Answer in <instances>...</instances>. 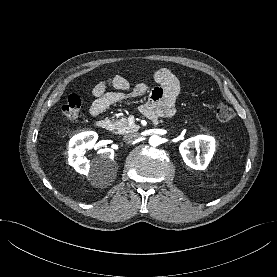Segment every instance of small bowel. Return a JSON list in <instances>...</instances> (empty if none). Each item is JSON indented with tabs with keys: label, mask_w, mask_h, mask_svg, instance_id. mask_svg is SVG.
<instances>
[{
	"label": "small bowel",
	"mask_w": 277,
	"mask_h": 277,
	"mask_svg": "<svg viewBox=\"0 0 277 277\" xmlns=\"http://www.w3.org/2000/svg\"><path fill=\"white\" fill-rule=\"evenodd\" d=\"M154 80L159 87L151 90L149 100L142 105L141 112L154 119L171 117L175 113V103L180 92L179 81L170 70L165 68L155 72ZM109 87L115 91H108ZM147 92L149 87L144 82L131 84L123 76H112L94 86L92 93L95 100L90 106V113L97 116L115 103L143 96Z\"/></svg>",
	"instance_id": "small-bowel-1"
}]
</instances>
